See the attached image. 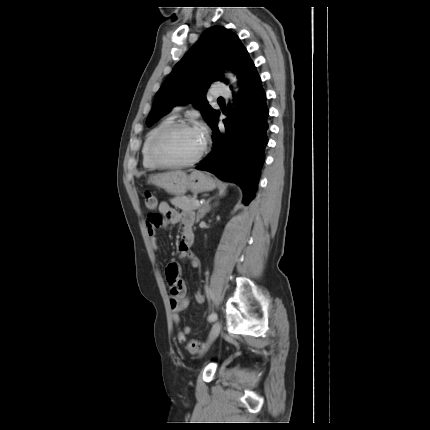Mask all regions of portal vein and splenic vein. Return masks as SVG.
Returning <instances> with one entry per match:
<instances>
[{"mask_svg": "<svg viewBox=\"0 0 430 430\" xmlns=\"http://www.w3.org/2000/svg\"><path fill=\"white\" fill-rule=\"evenodd\" d=\"M194 204H195L197 207H199V206H201V204H202V203H201V202H199L198 200H195V201H194Z\"/></svg>", "mask_w": 430, "mask_h": 430, "instance_id": "obj_1", "label": "portal vein and splenic vein"}]
</instances>
